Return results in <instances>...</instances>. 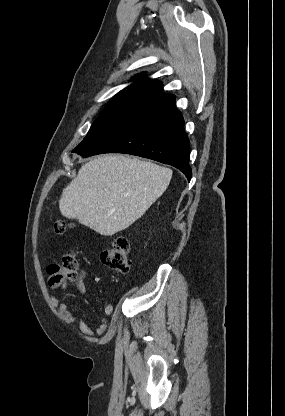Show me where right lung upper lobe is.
<instances>
[{
	"label": "right lung upper lobe",
	"instance_id": "cb5924a9",
	"mask_svg": "<svg viewBox=\"0 0 285 416\" xmlns=\"http://www.w3.org/2000/svg\"><path fill=\"white\" fill-rule=\"evenodd\" d=\"M137 78L144 77V74H138ZM132 95L143 100L158 104L162 109H168L175 106V97L163 92L161 82L157 80L143 78L120 91L116 96Z\"/></svg>",
	"mask_w": 285,
	"mask_h": 416
}]
</instances>
